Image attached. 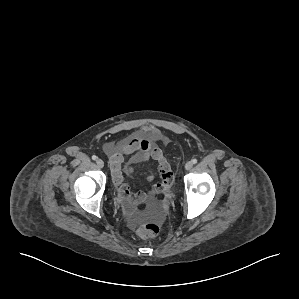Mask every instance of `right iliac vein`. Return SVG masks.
I'll return each instance as SVG.
<instances>
[{"mask_svg":"<svg viewBox=\"0 0 299 299\" xmlns=\"http://www.w3.org/2000/svg\"><path fill=\"white\" fill-rule=\"evenodd\" d=\"M96 164L99 168H102L104 166V162L102 159H97L96 160Z\"/></svg>","mask_w":299,"mask_h":299,"instance_id":"obj_1","label":"right iliac vein"}]
</instances>
